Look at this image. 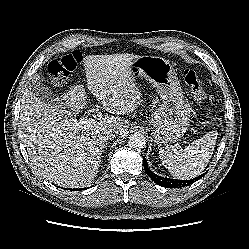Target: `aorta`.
<instances>
[{"mask_svg":"<svg viewBox=\"0 0 249 249\" xmlns=\"http://www.w3.org/2000/svg\"><path fill=\"white\" fill-rule=\"evenodd\" d=\"M128 144L133 149H143L146 144L145 136L138 132L133 133L128 137Z\"/></svg>","mask_w":249,"mask_h":249,"instance_id":"obj_1","label":"aorta"}]
</instances>
